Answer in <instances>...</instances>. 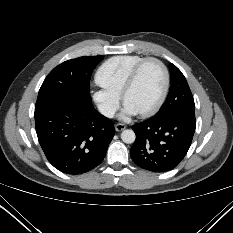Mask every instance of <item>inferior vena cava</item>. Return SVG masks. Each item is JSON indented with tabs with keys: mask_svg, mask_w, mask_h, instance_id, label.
<instances>
[{
	"mask_svg": "<svg viewBox=\"0 0 233 233\" xmlns=\"http://www.w3.org/2000/svg\"><path fill=\"white\" fill-rule=\"evenodd\" d=\"M98 110L99 112L108 117V118H113L114 114L116 112L115 108L111 107L110 105L107 104H99L98 105Z\"/></svg>",
	"mask_w": 233,
	"mask_h": 233,
	"instance_id": "1",
	"label": "inferior vena cava"
}]
</instances>
